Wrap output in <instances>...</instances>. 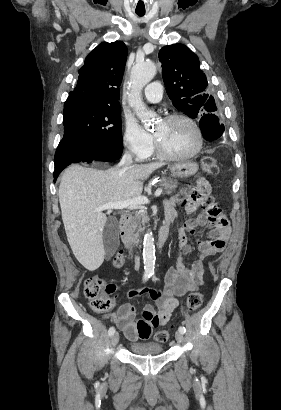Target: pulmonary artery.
<instances>
[{
	"instance_id": "1",
	"label": "pulmonary artery",
	"mask_w": 281,
	"mask_h": 410,
	"mask_svg": "<svg viewBox=\"0 0 281 410\" xmlns=\"http://www.w3.org/2000/svg\"><path fill=\"white\" fill-rule=\"evenodd\" d=\"M144 96L150 103H158L162 99V85L160 82H152L145 87Z\"/></svg>"
}]
</instances>
